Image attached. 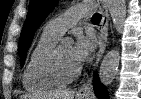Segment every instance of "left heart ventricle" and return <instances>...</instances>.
I'll return each mask as SVG.
<instances>
[{"instance_id":"left-heart-ventricle-1","label":"left heart ventricle","mask_w":141,"mask_h":99,"mask_svg":"<svg viewBox=\"0 0 141 99\" xmlns=\"http://www.w3.org/2000/svg\"><path fill=\"white\" fill-rule=\"evenodd\" d=\"M58 61L61 70L66 74H70L77 69L71 57V47L68 45L60 46L58 53Z\"/></svg>"}]
</instances>
